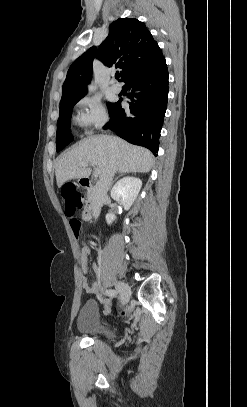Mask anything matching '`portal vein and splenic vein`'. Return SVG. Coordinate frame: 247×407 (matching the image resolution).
<instances>
[{"label":"portal vein and splenic vein","instance_id":"obj_1","mask_svg":"<svg viewBox=\"0 0 247 407\" xmlns=\"http://www.w3.org/2000/svg\"><path fill=\"white\" fill-rule=\"evenodd\" d=\"M80 165H81L82 167L87 166L86 163H81ZM99 174H100V170H99L98 168H96L95 171H94V175H95V176H98Z\"/></svg>","mask_w":247,"mask_h":407}]
</instances>
